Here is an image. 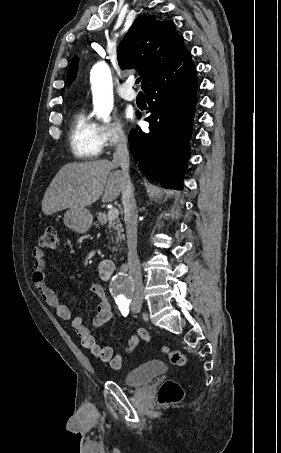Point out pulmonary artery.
Segmentation results:
<instances>
[{
  "instance_id": "pulmonary-artery-1",
  "label": "pulmonary artery",
  "mask_w": 281,
  "mask_h": 453,
  "mask_svg": "<svg viewBox=\"0 0 281 453\" xmlns=\"http://www.w3.org/2000/svg\"><path fill=\"white\" fill-rule=\"evenodd\" d=\"M132 78H130L126 83L119 85L116 88L118 95L126 100H134L137 97V94L134 89L131 88Z\"/></svg>"
}]
</instances>
